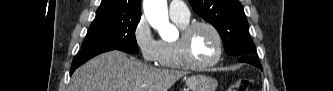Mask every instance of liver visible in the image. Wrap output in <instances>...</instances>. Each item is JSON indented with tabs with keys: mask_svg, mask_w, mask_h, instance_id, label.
Listing matches in <instances>:
<instances>
[{
	"mask_svg": "<svg viewBox=\"0 0 333 91\" xmlns=\"http://www.w3.org/2000/svg\"><path fill=\"white\" fill-rule=\"evenodd\" d=\"M186 73L154 68L122 51H109L80 66L69 91H168Z\"/></svg>",
	"mask_w": 333,
	"mask_h": 91,
	"instance_id": "6515ba94",
	"label": "liver"
}]
</instances>
